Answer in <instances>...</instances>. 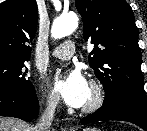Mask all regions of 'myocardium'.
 I'll return each instance as SVG.
<instances>
[{
  "instance_id": "1",
  "label": "myocardium",
  "mask_w": 147,
  "mask_h": 131,
  "mask_svg": "<svg viewBox=\"0 0 147 131\" xmlns=\"http://www.w3.org/2000/svg\"><path fill=\"white\" fill-rule=\"evenodd\" d=\"M90 90L92 97L90 101L84 104L82 107V112L87 114L99 110L104 105L106 99L105 88L99 80L92 79L90 81Z\"/></svg>"
}]
</instances>
